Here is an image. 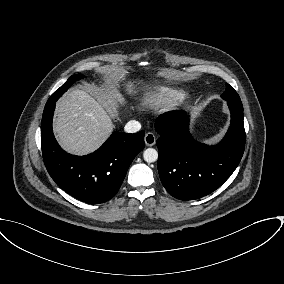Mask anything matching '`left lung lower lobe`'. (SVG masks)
<instances>
[{"label":"left lung lower lobe","mask_w":284,"mask_h":284,"mask_svg":"<svg viewBox=\"0 0 284 284\" xmlns=\"http://www.w3.org/2000/svg\"><path fill=\"white\" fill-rule=\"evenodd\" d=\"M231 124L215 146L195 141L189 133L185 111L162 114L155 122L160 135L158 172L165 189L180 200L206 196L219 188L234 172L245 148L243 106L227 101Z\"/></svg>","instance_id":"1"}]
</instances>
